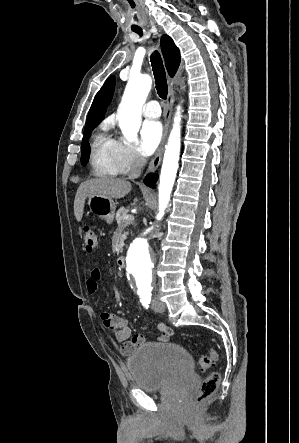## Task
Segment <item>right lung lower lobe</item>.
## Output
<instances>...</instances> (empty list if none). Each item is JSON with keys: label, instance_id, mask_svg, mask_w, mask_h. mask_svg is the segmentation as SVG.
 <instances>
[{"label": "right lung lower lobe", "instance_id": "98d812e1", "mask_svg": "<svg viewBox=\"0 0 299 443\" xmlns=\"http://www.w3.org/2000/svg\"><path fill=\"white\" fill-rule=\"evenodd\" d=\"M158 175L155 173H150L145 177L144 183L151 187L154 188V183L157 181Z\"/></svg>", "mask_w": 299, "mask_h": 443}]
</instances>
